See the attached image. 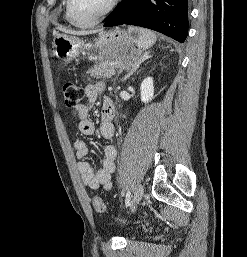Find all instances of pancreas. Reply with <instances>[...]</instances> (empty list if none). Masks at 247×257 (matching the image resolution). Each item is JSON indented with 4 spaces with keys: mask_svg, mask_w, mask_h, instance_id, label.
<instances>
[{
    "mask_svg": "<svg viewBox=\"0 0 247 257\" xmlns=\"http://www.w3.org/2000/svg\"><path fill=\"white\" fill-rule=\"evenodd\" d=\"M117 66L110 62H100L91 68L88 73L96 79H109L115 75Z\"/></svg>",
    "mask_w": 247,
    "mask_h": 257,
    "instance_id": "pancreas-1",
    "label": "pancreas"
}]
</instances>
